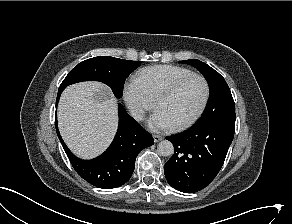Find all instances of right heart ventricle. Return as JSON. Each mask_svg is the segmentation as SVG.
<instances>
[{
    "label": "right heart ventricle",
    "instance_id": "obj_1",
    "mask_svg": "<svg viewBox=\"0 0 292 224\" xmlns=\"http://www.w3.org/2000/svg\"><path fill=\"white\" fill-rule=\"evenodd\" d=\"M194 74L188 68L175 65H155L139 70L135 79L146 91L152 100H155L159 93L175 81Z\"/></svg>",
    "mask_w": 292,
    "mask_h": 224
}]
</instances>
